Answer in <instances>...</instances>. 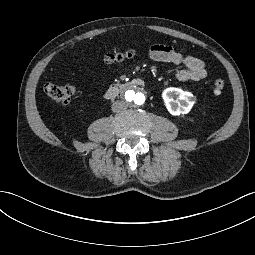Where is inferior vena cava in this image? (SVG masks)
Returning <instances> with one entry per match:
<instances>
[{"label": "inferior vena cava", "instance_id": "1", "mask_svg": "<svg viewBox=\"0 0 255 255\" xmlns=\"http://www.w3.org/2000/svg\"><path fill=\"white\" fill-rule=\"evenodd\" d=\"M128 108V103L125 101H116L112 104V111L115 113L122 112Z\"/></svg>", "mask_w": 255, "mask_h": 255}]
</instances>
